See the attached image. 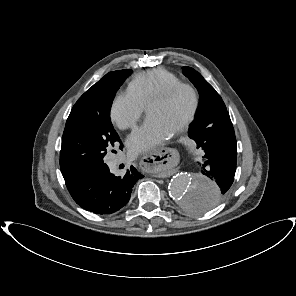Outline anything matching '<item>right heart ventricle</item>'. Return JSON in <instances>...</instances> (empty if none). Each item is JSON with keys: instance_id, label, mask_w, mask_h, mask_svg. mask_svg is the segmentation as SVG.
Returning <instances> with one entry per match:
<instances>
[{"instance_id": "e07e8e85", "label": "right heart ventricle", "mask_w": 296, "mask_h": 296, "mask_svg": "<svg viewBox=\"0 0 296 296\" xmlns=\"http://www.w3.org/2000/svg\"><path fill=\"white\" fill-rule=\"evenodd\" d=\"M179 82L180 79L169 71L151 69L134 77L128 85L127 92L145 107L154 96Z\"/></svg>"}]
</instances>
